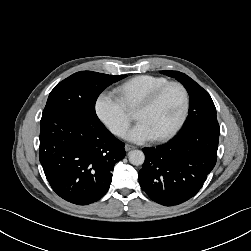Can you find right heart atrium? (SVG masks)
Returning <instances> with one entry per match:
<instances>
[{"label":"right heart atrium","instance_id":"1","mask_svg":"<svg viewBox=\"0 0 251 251\" xmlns=\"http://www.w3.org/2000/svg\"><path fill=\"white\" fill-rule=\"evenodd\" d=\"M94 110L98 119L114 134L121 136L127 130L130 111L113 90H103L96 97Z\"/></svg>","mask_w":251,"mask_h":251}]
</instances>
